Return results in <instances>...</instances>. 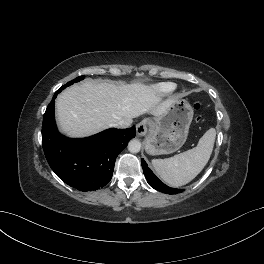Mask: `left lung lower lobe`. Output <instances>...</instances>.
<instances>
[{"label":"left lung lower lobe","instance_id":"1","mask_svg":"<svg viewBox=\"0 0 264 264\" xmlns=\"http://www.w3.org/2000/svg\"><path fill=\"white\" fill-rule=\"evenodd\" d=\"M142 168H143V173L145 175V178L147 179L148 184L156 189L157 191L163 192V193H168V194H177L182 192V189H174L170 188L164 183H162L155 175L154 173L148 168L147 163L142 159Z\"/></svg>","mask_w":264,"mask_h":264}]
</instances>
